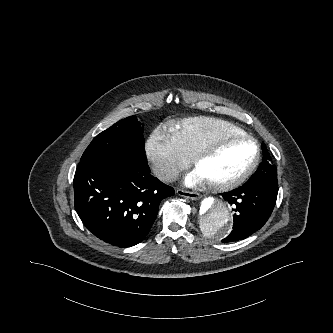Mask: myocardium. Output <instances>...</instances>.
<instances>
[{"mask_svg":"<svg viewBox=\"0 0 333 333\" xmlns=\"http://www.w3.org/2000/svg\"><path fill=\"white\" fill-rule=\"evenodd\" d=\"M228 140H245L253 143L255 146V155L251 163L238 176L224 182L206 181L208 188L216 192L229 191L242 185L252 175L260 161L261 148L256 138L249 134L224 133L212 138L194 153L191 158L193 166L197 168L199 163L204 158H206L220 143Z\"/></svg>","mask_w":333,"mask_h":333,"instance_id":"f54148a6","label":"myocardium"}]
</instances>
